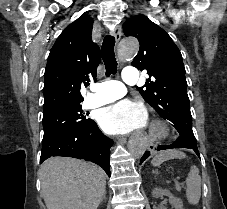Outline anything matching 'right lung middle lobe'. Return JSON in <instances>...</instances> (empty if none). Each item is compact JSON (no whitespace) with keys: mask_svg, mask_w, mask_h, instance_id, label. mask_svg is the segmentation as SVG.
<instances>
[{"mask_svg":"<svg viewBox=\"0 0 227 209\" xmlns=\"http://www.w3.org/2000/svg\"><path fill=\"white\" fill-rule=\"evenodd\" d=\"M83 100H51L43 105V140L74 128L84 126L90 121L85 118L80 103Z\"/></svg>","mask_w":227,"mask_h":209,"instance_id":"dd1d6c3e","label":"right lung middle lobe"}]
</instances>
